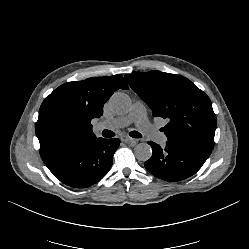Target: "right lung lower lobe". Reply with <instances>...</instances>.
<instances>
[{
  "mask_svg": "<svg viewBox=\"0 0 249 249\" xmlns=\"http://www.w3.org/2000/svg\"><path fill=\"white\" fill-rule=\"evenodd\" d=\"M119 144L120 140L117 138H96L92 141L75 143L44 163L64 184L75 188H86L108 173Z\"/></svg>",
  "mask_w": 249,
  "mask_h": 249,
  "instance_id": "98d812e1",
  "label": "right lung lower lobe"
}]
</instances>
